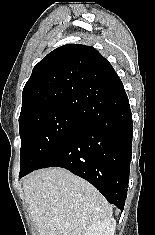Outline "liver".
Here are the masks:
<instances>
[{
	"instance_id": "obj_1",
	"label": "liver",
	"mask_w": 155,
	"mask_h": 235,
	"mask_svg": "<svg viewBox=\"0 0 155 235\" xmlns=\"http://www.w3.org/2000/svg\"><path fill=\"white\" fill-rule=\"evenodd\" d=\"M23 190L38 235H83L112 216L106 199L84 179L63 168L35 171Z\"/></svg>"
}]
</instances>
